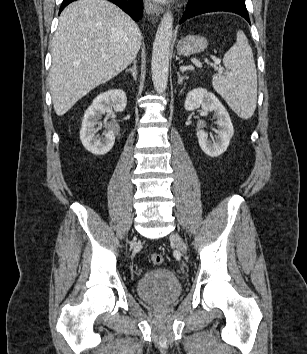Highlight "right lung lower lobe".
I'll use <instances>...</instances> for the list:
<instances>
[{
  "label": "right lung lower lobe",
  "instance_id": "98d812e1",
  "mask_svg": "<svg viewBox=\"0 0 307 354\" xmlns=\"http://www.w3.org/2000/svg\"><path fill=\"white\" fill-rule=\"evenodd\" d=\"M75 0H63L60 11H62L69 3ZM118 5L122 10L129 14L133 20L138 21L142 18L143 3L142 0H108Z\"/></svg>",
  "mask_w": 307,
  "mask_h": 354
}]
</instances>
